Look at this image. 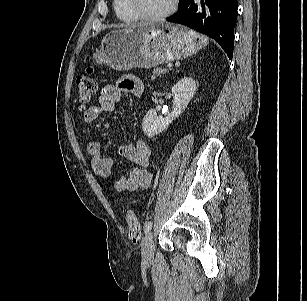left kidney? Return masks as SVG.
Returning a JSON list of instances; mask_svg holds the SVG:
<instances>
[{
  "instance_id": "obj_1",
  "label": "left kidney",
  "mask_w": 307,
  "mask_h": 301,
  "mask_svg": "<svg viewBox=\"0 0 307 301\" xmlns=\"http://www.w3.org/2000/svg\"><path fill=\"white\" fill-rule=\"evenodd\" d=\"M196 82L191 77H183L172 87L175 106L166 117L158 116L156 110L150 109L143 118L142 130L148 137H153L169 125L187 108L196 91Z\"/></svg>"
}]
</instances>
